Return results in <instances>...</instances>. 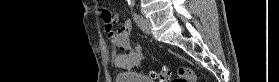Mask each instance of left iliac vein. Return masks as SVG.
I'll return each mask as SVG.
<instances>
[{
  "label": "left iliac vein",
  "mask_w": 279,
  "mask_h": 82,
  "mask_svg": "<svg viewBox=\"0 0 279 82\" xmlns=\"http://www.w3.org/2000/svg\"><path fill=\"white\" fill-rule=\"evenodd\" d=\"M139 27L146 34H151V22L148 18L143 17L141 21L138 22Z\"/></svg>",
  "instance_id": "obj_1"
}]
</instances>
